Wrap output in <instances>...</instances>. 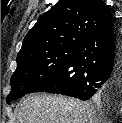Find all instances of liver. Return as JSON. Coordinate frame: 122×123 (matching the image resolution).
<instances>
[{"label":"liver","mask_w":122,"mask_h":123,"mask_svg":"<svg viewBox=\"0 0 122 123\" xmlns=\"http://www.w3.org/2000/svg\"><path fill=\"white\" fill-rule=\"evenodd\" d=\"M101 116L91 103L62 95H29L16 107V123H100Z\"/></svg>","instance_id":"obj_1"}]
</instances>
